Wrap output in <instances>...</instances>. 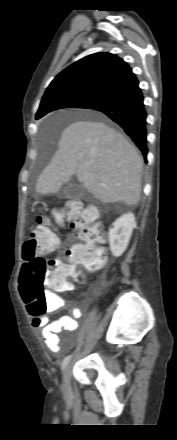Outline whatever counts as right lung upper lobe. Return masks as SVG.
Listing matches in <instances>:
<instances>
[{
  "mask_svg": "<svg viewBox=\"0 0 177 440\" xmlns=\"http://www.w3.org/2000/svg\"><path fill=\"white\" fill-rule=\"evenodd\" d=\"M136 79L123 59L111 53H95L80 59L58 74L47 88L42 101L67 91L102 97Z\"/></svg>",
  "mask_w": 177,
  "mask_h": 440,
  "instance_id": "obj_1",
  "label": "right lung upper lobe"
}]
</instances>
